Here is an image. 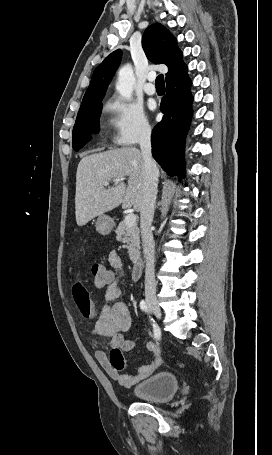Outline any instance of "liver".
<instances>
[{
	"instance_id": "6515ba94",
	"label": "liver",
	"mask_w": 272,
	"mask_h": 455,
	"mask_svg": "<svg viewBox=\"0 0 272 455\" xmlns=\"http://www.w3.org/2000/svg\"><path fill=\"white\" fill-rule=\"evenodd\" d=\"M142 170V154L133 147L115 148L83 157L76 173L77 225L84 226L120 204L123 209L133 207L140 211L144 193ZM125 177H128L127 186ZM110 180L117 183L106 189L103 182Z\"/></svg>"
}]
</instances>
